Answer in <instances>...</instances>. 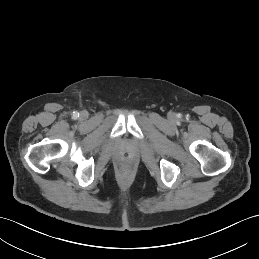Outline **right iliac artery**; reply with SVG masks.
<instances>
[{
  "label": "right iliac artery",
  "instance_id": "82829eb1",
  "mask_svg": "<svg viewBox=\"0 0 259 259\" xmlns=\"http://www.w3.org/2000/svg\"><path fill=\"white\" fill-rule=\"evenodd\" d=\"M77 117H79V113L78 112H73V118L76 119Z\"/></svg>",
  "mask_w": 259,
  "mask_h": 259
}]
</instances>
